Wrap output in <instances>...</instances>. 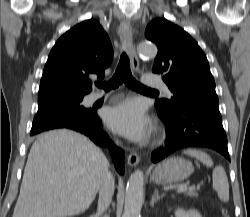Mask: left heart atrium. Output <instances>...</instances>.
I'll use <instances>...</instances> for the list:
<instances>
[{
	"label": "left heart atrium",
	"instance_id": "39dd6f15",
	"mask_svg": "<svg viewBox=\"0 0 250 217\" xmlns=\"http://www.w3.org/2000/svg\"><path fill=\"white\" fill-rule=\"evenodd\" d=\"M105 121L111 130L130 140L148 139L152 124L142 105L134 99L124 100L105 112Z\"/></svg>",
	"mask_w": 250,
	"mask_h": 217
}]
</instances>
